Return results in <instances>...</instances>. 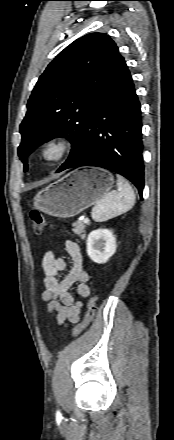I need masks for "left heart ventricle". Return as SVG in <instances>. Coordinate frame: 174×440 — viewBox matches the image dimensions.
Listing matches in <instances>:
<instances>
[{
	"mask_svg": "<svg viewBox=\"0 0 174 440\" xmlns=\"http://www.w3.org/2000/svg\"><path fill=\"white\" fill-rule=\"evenodd\" d=\"M52 154H53L52 152L49 153V155H52Z\"/></svg>",
	"mask_w": 174,
	"mask_h": 440,
	"instance_id": "1",
	"label": "left heart ventricle"
}]
</instances>
